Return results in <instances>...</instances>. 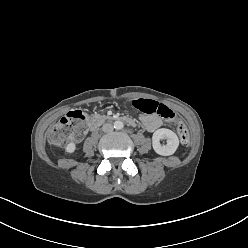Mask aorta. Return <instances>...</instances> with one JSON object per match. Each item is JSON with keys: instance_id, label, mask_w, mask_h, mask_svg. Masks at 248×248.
Here are the masks:
<instances>
[{"instance_id": "aorta-1", "label": "aorta", "mask_w": 248, "mask_h": 248, "mask_svg": "<svg viewBox=\"0 0 248 248\" xmlns=\"http://www.w3.org/2000/svg\"><path fill=\"white\" fill-rule=\"evenodd\" d=\"M124 127V124L122 121H115L114 122V128L117 129V130H121L122 128Z\"/></svg>"}]
</instances>
